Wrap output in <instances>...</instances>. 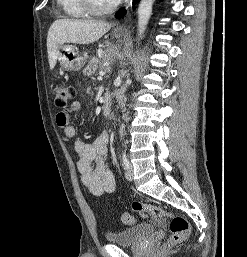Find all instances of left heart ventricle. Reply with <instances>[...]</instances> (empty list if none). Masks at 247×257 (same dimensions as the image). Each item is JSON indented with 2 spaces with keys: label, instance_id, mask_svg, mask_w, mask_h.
I'll list each match as a JSON object with an SVG mask.
<instances>
[{
  "label": "left heart ventricle",
  "instance_id": "b2bd125f",
  "mask_svg": "<svg viewBox=\"0 0 247 257\" xmlns=\"http://www.w3.org/2000/svg\"><path fill=\"white\" fill-rule=\"evenodd\" d=\"M99 6H106L114 0H95Z\"/></svg>",
  "mask_w": 247,
  "mask_h": 257
}]
</instances>
